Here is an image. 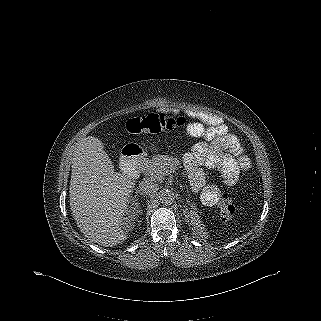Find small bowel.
I'll return each mask as SVG.
<instances>
[{
  "label": "small bowel",
  "mask_w": 321,
  "mask_h": 321,
  "mask_svg": "<svg viewBox=\"0 0 321 321\" xmlns=\"http://www.w3.org/2000/svg\"><path fill=\"white\" fill-rule=\"evenodd\" d=\"M188 130L194 135L203 136L206 142L198 144L194 149V155H189L187 161L189 168H192L197 161H203L206 167L218 170L224 178V183L231 185L236 181L239 166L223 150H232L238 146L236 139L231 135H226L224 126H208L194 124ZM196 191V189H193ZM202 200L205 204H213L216 197L204 194Z\"/></svg>",
  "instance_id": "c3829d8e"
}]
</instances>
